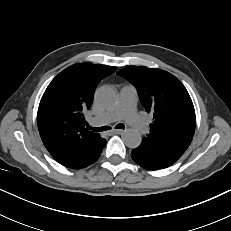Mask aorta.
<instances>
[{"mask_svg": "<svg viewBox=\"0 0 231 231\" xmlns=\"http://www.w3.org/2000/svg\"><path fill=\"white\" fill-rule=\"evenodd\" d=\"M96 102L102 107H110L116 103L117 94L111 86H102L96 91ZM122 139L129 148H137L142 141L141 134L137 130H126Z\"/></svg>", "mask_w": 231, "mask_h": 231, "instance_id": "obj_1", "label": "aorta"}]
</instances>
